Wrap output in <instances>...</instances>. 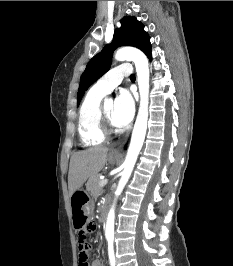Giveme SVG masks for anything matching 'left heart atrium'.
<instances>
[{
  "label": "left heart atrium",
  "mask_w": 233,
  "mask_h": 266,
  "mask_svg": "<svg viewBox=\"0 0 233 266\" xmlns=\"http://www.w3.org/2000/svg\"><path fill=\"white\" fill-rule=\"evenodd\" d=\"M135 113V102L132 95L123 90L114 101L113 123L116 126L123 127L128 125Z\"/></svg>",
  "instance_id": "left-heart-atrium-1"
}]
</instances>
